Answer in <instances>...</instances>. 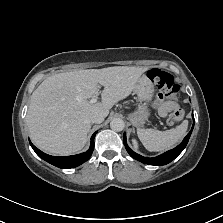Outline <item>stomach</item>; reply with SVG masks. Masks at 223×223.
<instances>
[{
  "label": "stomach",
  "instance_id": "1",
  "mask_svg": "<svg viewBox=\"0 0 223 223\" xmlns=\"http://www.w3.org/2000/svg\"><path fill=\"white\" fill-rule=\"evenodd\" d=\"M154 91L155 87L151 78H146L144 76H141L138 79L134 88V92L137 94L138 100L141 97L145 99L143 102H150L153 98ZM148 116L149 110L146 103H144V107L142 110H135L129 115V120L131 121L133 126L140 127L145 123V120H147Z\"/></svg>",
  "mask_w": 223,
  "mask_h": 223
}]
</instances>
